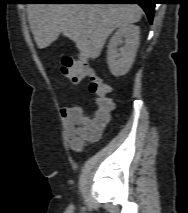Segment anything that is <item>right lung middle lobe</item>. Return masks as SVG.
I'll list each match as a JSON object with an SVG mask.
<instances>
[{"mask_svg":"<svg viewBox=\"0 0 188 213\" xmlns=\"http://www.w3.org/2000/svg\"><path fill=\"white\" fill-rule=\"evenodd\" d=\"M33 2H41V1H43V0H32Z\"/></svg>","mask_w":188,"mask_h":213,"instance_id":"right-lung-middle-lobe-1","label":"right lung middle lobe"}]
</instances>
